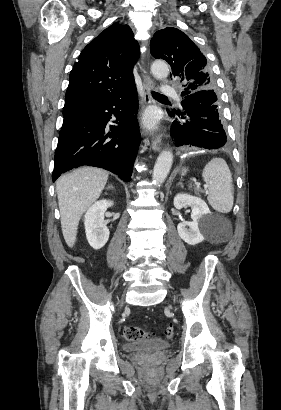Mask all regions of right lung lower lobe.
I'll return each mask as SVG.
<instances>
[{
	"instance_id": "obj_1",
	"label": "right lung lower lobe",
	"mask_w": 281,
	"mask_h": 410,
	"mask_svg": "<svg viewBox=\"0 0 281 410\" xmlns=\"http://www.w3.org/2000/svg\"><path fill=\"white\" fill-rule=\"evenodd\" d=\"M135 85L105 98L63 122L55 151L53 181L63 172L88 165L130 181L141 136ZM112 116L115 125H107Z\"/></svg>"
}]
</instances>
